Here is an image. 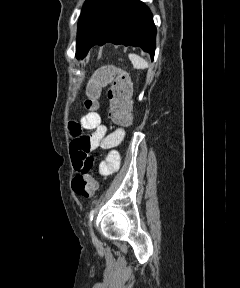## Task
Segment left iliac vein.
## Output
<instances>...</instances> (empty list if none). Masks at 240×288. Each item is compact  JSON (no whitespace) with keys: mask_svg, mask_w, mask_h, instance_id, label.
<instances>
[{"mask_svg":"<svg viewBox=\"0 0 240 288\" xmlns=\"http://www.w3.org/2000/svg\"><path fill=\"white\" fill-rule=\"evenodd\" d=\"M89 225H90L91 233H92V235H93V231H92V224L90 223Z\"/></svg>","mask_w":240,"mask_h":288,"instance_id":"4c4485c4","label":"left iliac vein"}]
</instances>
